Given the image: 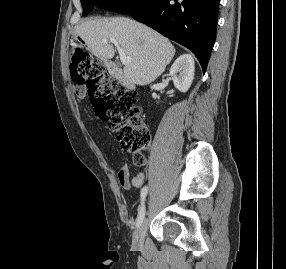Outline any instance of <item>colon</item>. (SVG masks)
I'll use <instances>...</instances> for the list:
<instances>
[{"label": "colon", "mask_w": 286, "mask_h": 269, "mask_svg": "<svg viewBox=\"0 0 286 269\" xmlns=\"http://www.w3.org/2000/svg\"><path fill=\"white\" fill-rule=\"evenodd\" d=\"M69 55L77 93L82 87L87 88L96 115L116 131L122 148L133 154L134 164L143 165V151L149 145L150 133L135 109L136 94L111 81L103 62L79 45L71 46Z\"/></svg>", "instance_id": "obj_1"}]
</instances>
